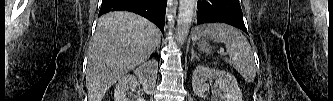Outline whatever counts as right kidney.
I'll list each match as a JSON object with an SVG mask.
<instances>
[{
  "label": "right kidney",
  "instance_id": "right-kidney-1",
  "mask_svg": "<svg viewBox=\"0 0 333 101\" xmlns=\"http://www.w3.org/2000/svg\"><path fill=\"white\" fill-rule=\"evenodd\" d=\"M158 70V62L152 59L140 65L135 71V76L126 75L122 77L115 88L114 99L115 101H128L127 92L131 88H136L137 77L143 81V89L145 93L151 94L156 84ZM139 101V99H137Z\"/></svg>",
  "mask_w": 333,
  "mask_h": 101
}]
</instances>
